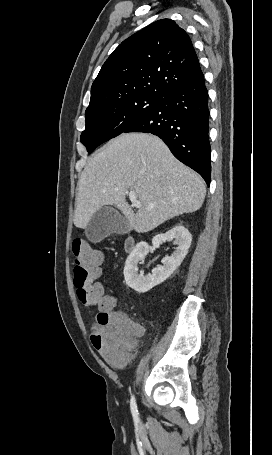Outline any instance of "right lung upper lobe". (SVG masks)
<instances>
[{
    "instance_id": "right-lung-upper-lobe-1",
    "label": "right lung upper lobe",
    "mask_w": 272,
    "mask_h": 455,
    "mask_svg": "<svg viewBox=\"0 0 272 455\" xmlns=\"http://www.w3.org/2000/svg\"><path fill=\"white\" fill-rule=\"evenodd\" d=\"M201 75L188 34L171 19L158 20L109 56L92 84L87 110L137 95L164 97Z\"/></svg>"
}]
</instances>
